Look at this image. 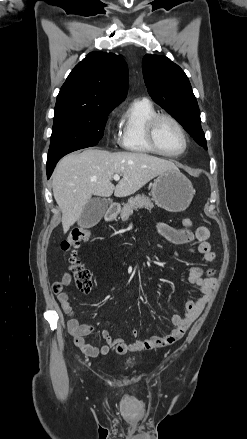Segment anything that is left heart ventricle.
<instances>
[{"instance_id": "b2bd125f", "label": "left heart ventricle", "mask_w": 247, "mask_h": 439, "mask_svg": "<svg viewBox=\"0 0 247 439\" xmlns=\"http://www.w3.org/2000/svg\"><path fill=\"white\" fill-rule=\"evenodd\" d=\"M159 147L168 153H177L183 148V138L177 127L169 120H161L156 128Z\"/></svg>"}]
</instances>
